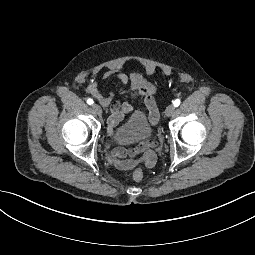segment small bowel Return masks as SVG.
Listing matches in <instances>:
<instances>
[{
	"mask_svg": "<svg viewBox=\"0 0 255 255\" xmlns=\"http://www.w3.org/2000/svg\"><path fill=\"white\" fill-rule=\"evenodd\" d=\"M103 79H115L122 86L126 87L122 93L130 97H141L149 114L152 124H156L159 119L158 108L155 100L156 87L149 82L142 74L133 72L129 75L116 70L109 69L102 73ZM87 92L102 106L109 109L108 132L112 134L115 127L123 120L125 115L132 111V106L127 101L115 100L113 92L103 94L100 92L95 80H91ZM133 149L116 148L110 155V162L119 170L132 171L142 163L147 168H152L156 164L157 156L155 148L157 143L134 142Z\"/></svg>",
	"mask_w": 255,
	"mask_h": 255,
	"instance_id": "1",
	"label": "small bowel"
}]
</instances>
